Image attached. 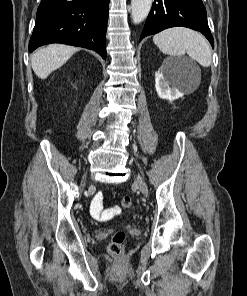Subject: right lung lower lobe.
<instances>
[{"label": "right lung lower lobe", "mask_w": 247, "mask_h": 296, "mask_svg": "<svg viewBox=\"0 0 247 296\" xmlns=\"http://www.w3.org/2000/svg\"><path fill=\"white\" fill-rule=\"evenodd\" d=\"M109 0H42L29 42V52L49 43L96 51L106 58Z\"/></svg>", "instance_id": "obj_1"}]
</instances>
